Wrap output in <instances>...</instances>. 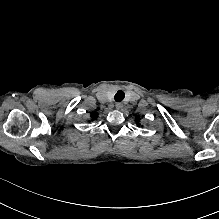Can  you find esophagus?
I'll return each mask as SVG.
<instances>
[{
    "instance_id": "obj_1",
    "label": "esophagus",
    "mask_w": 219,
    "mask_h": 219,
    "mask_svg": "<svg viewBox=\"0 0 219 219\" xmlns=\"http://www.w3.org/2000/svg\"><path fill=\"white\" fill-rule=\"evenodd\" d=\"M116 109H121L123 107L122 103H116L115 104Z\"/></svg>"
}]
</instances>
